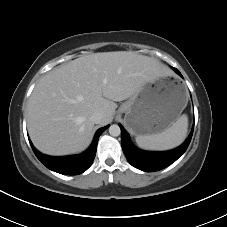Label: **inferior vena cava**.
I'll list each match as a JSON object with an SVG mask.
<instances>
[{
    "label": "inferior vena cava",
    "mask_w": 227,
    "mask_h": 227,
    "mask_svg": "<svg viewBox=\"0 0 227 227\" xmlns=\"http://www.w3.org/2000/svg\"><path fill=\"white\" fill-rule=\"evenodd\" d=\"M102 117L103 114L99 111H96L91 115L90 120L95 124H99L100 121L102 120Z\"/></svg>",
    "instance_id": "602c4592"
}]
</instances>
